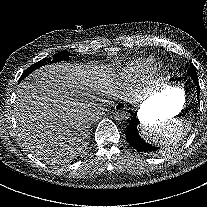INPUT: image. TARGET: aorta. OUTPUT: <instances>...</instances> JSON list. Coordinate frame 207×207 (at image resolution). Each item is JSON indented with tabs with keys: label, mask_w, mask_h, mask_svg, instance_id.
I'll use <instances>...</instances> for the list:
<instances>
[{
	"label": "aorta",
	"mask_w": 207,
	"mask_h": 207,
	"mask_svg": "<svg viewBox=\"0 0 207 207\" xmlns=\"http://www.w3.org/2000/svg\"><path fill=\"white\" fill-rule=\"evenodd\" d=\"M131 118L130 114L127 112L126 109L122 108V109H118L115 113H114V119L116 122L118 123H126L128 122V120Z\"/></svg>",
	"instance_id": "aorta-1"
}]
</instances>
